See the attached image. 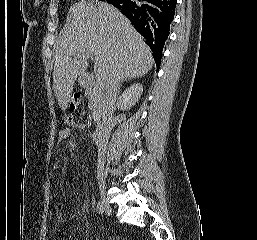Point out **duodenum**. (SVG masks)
<instances>
[{
  "label": "duodenum",
  "instance_id": "410a0bca",
  "mask_svg": "<svg viewBox=\"0 0 257 240\" xmlns=\"http://www.w3.org/2000/svg\"><path fill=\"white\" fill-rule=\"evenodd\" d=\"M108 133V127L103 122H98L93 132V142L96 147L101 148L104 146Z\"/></svg>",
  "mask_w": 257,
  "mask_h": 240
}]
</instances>
